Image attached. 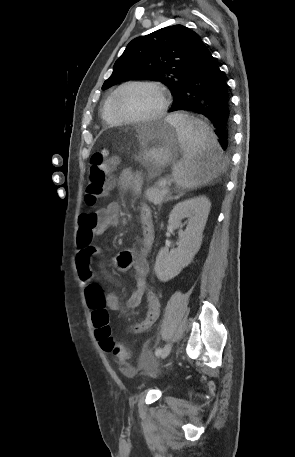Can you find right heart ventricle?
<instances>
[{
    "label": "right heart ventricle",
    "instance_id": "right-heart-ventricle-1",
    "mask_svg": "<svg viewBox=\"0 0 295 457\" xmlns=\"http://www.w3.org/2000/svg\"><path fill=\"white\" fill-rule=\"evenodd\" d=\"M113 93L114 92L110 93L108 95V97L106 98V100L104 101L101 112H102L103 119L108 124L117 125V124H120L122 121L113 114L112 109H111V101H112Z\"/></svg>",
    "mask_w": 295,
    "mask_h": 457
}]
</instances>
